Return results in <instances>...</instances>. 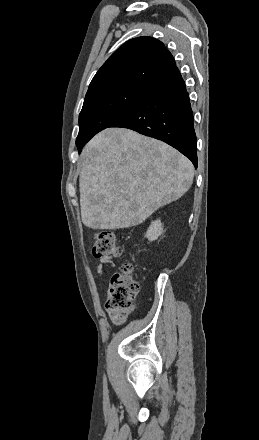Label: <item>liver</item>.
Returning <instances> with one entry per match:
<instances>
[{"label":"liver","mask_w":259,"mask_h":440,"mask_svg":"<svg viewBox=\"0 0 259 440\" xmlns=\"http://www.w3.org/2000/svg\"><path fill=\"white\" fill-rule=\"evenodd\" d=\"M194 167L176 149L124 128H107L84 147L80 162L81 218L114 230L144 222L191 187Z\"/></svg>","instance_id":"6515ba94"}]
</instances>
